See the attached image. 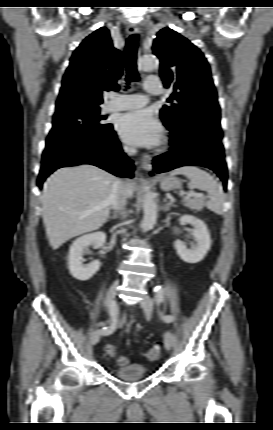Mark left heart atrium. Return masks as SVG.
<instances>
[{
	"label": "left heart atrium",
	"instance_id": "1",
	"mask_svg": "<svg viewBox=\"0 0 273 430\" xmlns=\"http://www.w3.org/2000/svg\"><path fill=\"white\" fill-rule=\"evenodd\" d=\"M117 129L121 137L128 143L141 146L157 145L163 134L159 121L152 111L141 109L121 116Z\"/></svg>",
	"mask_w": 273,
	"mask_h": 430
}]
</instances>
